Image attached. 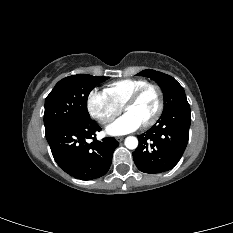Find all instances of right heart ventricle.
Masks as SVG:
<instances>
[{"label":"right heart ventricle","instance_id":"e07e8e85","mask_svg":"<svg viewBox=\"0 0 233 233\" xmlns=\"http://www.w3.org/2000/svg\"><path fill=\"white\" fill-rule=\"evenodd\" d=\"M144 79L128 78L107 84L103 93L115 105L122 107L127 98L139 87L147 84Z\"/></svg>","mask_w":233,"mask_h":233}]
</instances>
